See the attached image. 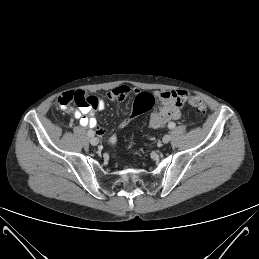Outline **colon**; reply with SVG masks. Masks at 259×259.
Returning <instances> with one entry per match:
<instances>
[{
    "instance_id": "5ec220e1",
    "label": "colon",
    "mask_w": 259,
    "mask_h": 259,
    "mask_svg": "<svg viewBox=\"0 0 259 259\" xmlns=\"http://www.w3.org/2000/svg\"><path fill=\"white\" fill-rule=\"evenodd\" d=\"M154 104H155V98L153 95H151L149 93L138 94L134 100L131 115L120 123V127H122V128L126 127L133 118L152 109ZM189 104L192 107L196 108V110L199 113L206 112V109H207L206 105L203 102V100L200 99L199 97H196V96L190 97Z\"/></svg>"
}]
</instances>
